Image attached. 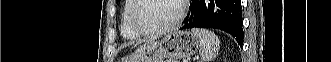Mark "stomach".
Segmentation results:
<instances>
[{"instance_id": "obj_1", "label": "stomach", "mask_w": 331, "mask_h": 62, "mask_svg": "<svg viewBox=\"0 0 331 62\" xmlns=\"http://www.w3.org/2000/svg\"><path fill=\"white\" fill-rule=\"evenodd\" d=\"M200 39L189 31H173L161 40L141 44L133 53V62H162L168 58L177 62L195 54L200 48Z\"/></svg>"}]
</instances>
